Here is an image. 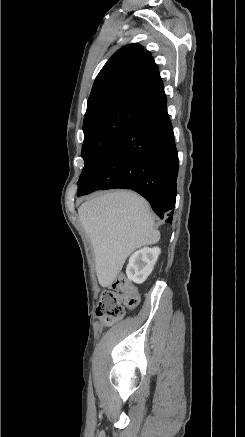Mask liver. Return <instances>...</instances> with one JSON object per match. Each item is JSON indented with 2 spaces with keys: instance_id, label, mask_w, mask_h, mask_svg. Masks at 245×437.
Listing matches in <instances>:
<instances>
[{
  "instance_id": "6515ba94",
  "label": "liver",
  "mask_w": 245,
  "mask_h": 437,
  "mask_svg": "<svg viewBox=\"0 0 245 437\" xmlns=\"http://www.w3.org/2000/svg\"><path fill=\"white\" fill-rule=\"evenodd\" d=\"M78 213L93 246L102 287L115 281L132 252L160 239L148 202L130 191L100 194L84 202Z\"/></svg>"
}]
</instances>
